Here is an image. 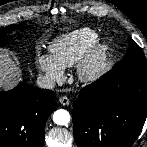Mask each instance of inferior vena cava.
<instances>
[{
	"mask_svg": "<svg viewBox=\"0 0 147 147\" xmlns=\"http://www.w3.org/2000/svg\"><path fill=\"white\" fill-rule=\"evenodd\" d=\"M37 85L43 89H53L55 86V82L47 76L40 75L37 78Z\"/></svg>",
	"mask_w": 147,
	"mask_h": 147,
	"instance_id": "inferior-vena-cava-1",
	"label": "inferior vena cava"
}]
</instances>
